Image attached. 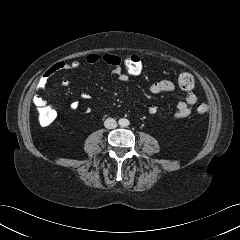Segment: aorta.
<instances>
[{
	"instance_id": "aorta-1",
	"label": "aorta",
	"mask_w": 240,
	"mask_h": 240,
	"mask_svg": "<svg viewBox=\"0 0 240 240\" xmlns=\"http://www.w3.org/2000/svg\"><path fill=\"white\" fill-rule=\"evenodd\" d=\"M119 123L121 126H128L129 121L127 119H120Z\"/></svg>"
}]
</instances>
